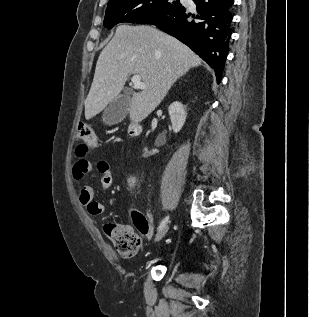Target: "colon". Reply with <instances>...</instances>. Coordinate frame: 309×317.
I'll return each instance as SVG.
<instances>
[{
	"mask_svg": "<svg viewBox=\"0 0 309 317\" xmlns=\"http://www.w3.org/2000/svg\"><path fill=\"white\" fill-rule=\"evenodd\" d=\"M77 136L82 140L83 144L79 147L84 152L88 148H95L97 146V138L90 126L81 123L78 127ZM134 226L120 223H109L105 232L110 241L124 258H133L137 255L140 248V237L136 230L143 235H151V226L147 219L141 214L133 216Z\"/></svg>",
	"mask_w": 309,
	"mask_h": 317,
	"instance_id": "obj_1",
	"label": "colon"
}]
</instances>
